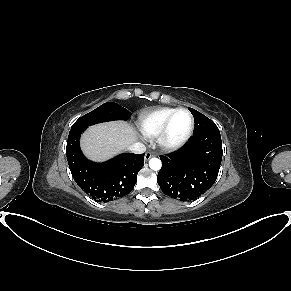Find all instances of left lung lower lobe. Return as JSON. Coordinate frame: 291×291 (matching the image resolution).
Masks as SVG:
<instances>
[{
    "label": "left lung lower lobe",
    "instance_id": "left-lung-lower-lobe-1",
    "mask_svg": "<svg viewBox=\"0 0 291 291\" xmlns=\"http://www.w3.org/2000/svg\"><path fill=\"white\" fill-rule=\"evenodd\" d=\"M218 128L193 135L178 151L160 156L157 182L162 192L180 201H192L212 187L222 161Z\"/></svg>",
    "mask_w": 291,
    "mask_h": 291
}]
</instances>
